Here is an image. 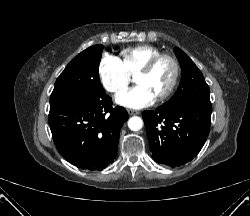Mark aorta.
I'll return each instance as SVG.
<instances>
[{
    "instance_id": "1",
    "label": "aorta",
    "mask_w": 250,
    "mask_h": 216,
    "mask_svg": "<svg viewBox=\"0 0 250 216\" xmlns=\"http://www.w3.org/2000/svg\"><path fill=\"white\" fill-rule=\"evenodd\" d=\"M143 126V120L138 116H133L128 120V127L132 131H139Z\"/></svg>"
}]
</instances>
